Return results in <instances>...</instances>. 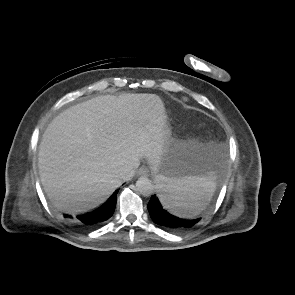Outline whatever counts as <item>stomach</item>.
<instances>
[{"instance_id":"stomach-1","label":"stomach","mask_w":295,"mask_h":295,"mask_svg":"<svg viewBox=\"0 0 295 295\" xmlns=\"http://www.w3.org/2000/svg\"><path fill=\"white\" fill-rule=\"evenodd\" d=\"M211 152L209 146L196 141L170 142L154 175L167 178L198 177L209 174Z\"/></svg>"}]
</instances>
